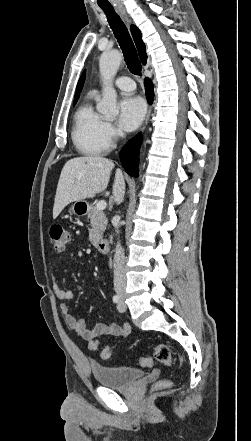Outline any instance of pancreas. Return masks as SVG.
Instances as JSON below:
<instances>
[{"label": "pancreas", "instance_id": "1", "mask_svg": "<svg viewBox=\"0 0 251 441\" xmlns=\"http://www.w3.org/2000/svg\"><path fill=\"white\" fill-rule=\"evenodd\" d=\"M95 203L88 206V218L90 219L91 229L89 230V240L92 244H96L102 238L106 229L108 220L102 210H98Z\"/></svg>", "mask_w": 251, "mask_h": 441}]
</instances>
